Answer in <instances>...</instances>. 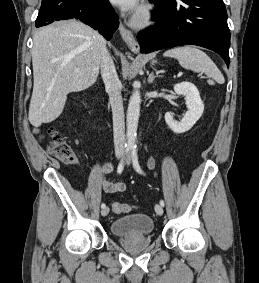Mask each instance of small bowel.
<instances>
[{"label":"small bowel","mask_w":259,"mask_h":283,"mask_svg":"<svg viewBox=\"0 0 259 283\" xmlns=\"http://www.w3.org/2000/svg\"><path fill=\"white\" fill-rule=\"evenodd\" d=\"M149 166L153 168L154 166V160H149ZM113 165L110 162H106L103 164L99 176L100 184L102 186V189L106 193H120L124 192L126 189V185L123 182H109L106 180V175L112 170Z\"/></svg>","instance_id":"1"}]
</instances>
